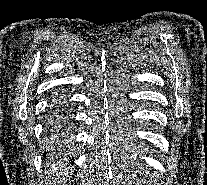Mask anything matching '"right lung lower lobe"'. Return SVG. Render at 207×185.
Returning <instances> with one entry per match:
<instances>
[{
	"label": "right lung lower lobe",
	"mask_w": 207,
	"mask_h": 185,
	"mask_svg": "<svg viewBox=\"0 0 207 185\" xmlns=\"http://www.w3.org/2000/svg\"><path fill=\"white\" fill-rule=\"evenodd\" d=\"M71 119L62 103L55 102L47 119L48 140L51 148L62 149L68 145V132Z\"/></svg>",
	"instance_id": "1"
}]
</instances>
